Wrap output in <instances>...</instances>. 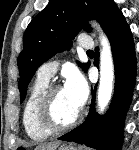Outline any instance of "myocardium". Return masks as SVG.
Returning a JSON list of instances; mask_svg holds the SVG:
<instances>
[{"label":"myocardium","instance_id":"obj_1","mask_svg":"<svg viewBox=\"0 0 139 150\" xmlns=\"http://www.w3.org/2000/svg\"><path fill=\"white\" fill-rule=\"evenodd\" d=\"M62 89L58 84H50L41 95L37 110L36 118L39 126L51 133L67 131L77 126L83 118L84 110L80 108L75 118L67 124H57L51 117V103L56 91Z\"/></svg>","mask_w":139,"mask_h":150}]
</instances>
